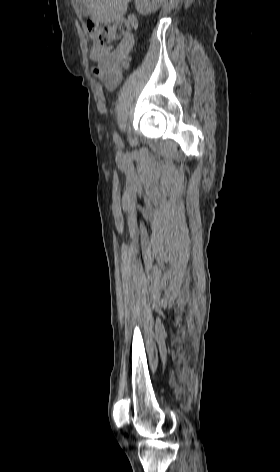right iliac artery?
Returning <instances> with one entry per match:
<instances>
[{
	"label": "right iliac artery",
	"mask_w": 280,
	"mask_h": 472,
	"mask_svg": "<svg viewBox=\"0 0 280 472\" xmlns=\"http://www.w3.org/2000/svg\"><path fill=\"white\" fill-rule=\"evenodd\" d=\"M114 141L117 144V146H119V147L123 146V142H122L121 138L116 133L114 134Z\"/></svg>",
	"instance_id": "1"
}]
</instances>
